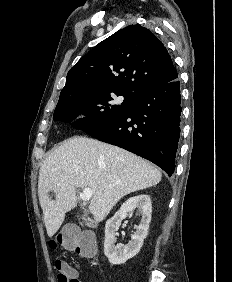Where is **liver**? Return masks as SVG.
<instances>
[{"mask_svg": "<svg viewBox=\"0 0 232 282\" xmlns=\"http://www.w3.org/2000/svg\"><path fill=\"white\" fill-rule=\"evenodd\" d=\"M161 178L155 166L124 149L87 137L69 138L48 155L39 171L38 195L48 236L76 207L78 188L92 190L89 211L99 222L125 195L152 187Z\"/></svg>", "mask_w": 232, "mask_h": 282, "instance_id": "obj_1", "label": "liver"}]
</instances>
